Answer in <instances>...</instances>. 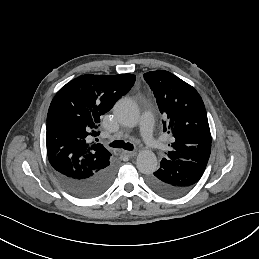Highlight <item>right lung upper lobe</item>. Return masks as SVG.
<instances>
[{"mask_svg": "<svg viewBox=\"0 0 259 259\" xmlns=\"http://www.w3.org/2000/svg\"><path fill=\"white\" fill-rule=\"evenodd\" d=\"M136 76H79L53 98L46 125V147L53 169L74 179H86L110 164L111 153L100 143V118L133 86Z\"/></svg>", "mask_w": 259, "mask_h": 259, "instance_id": "obj_1", "label": "right lung upper lobe"}]
</instances>
